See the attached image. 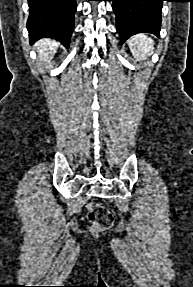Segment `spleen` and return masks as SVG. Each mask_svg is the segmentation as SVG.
I'll list each match as a JSON object with an SVG mask.
<instances>
[{
	"label": "spleen",
	"mask_w": 193,
	"mask_h": 287,
	"mask_svg": "<svg viewBox=\"0 0 193 287\" xmlns=\"http://www.w3.org/2000/svg\"><path fill=\"white\" fill-rule=\"evenodd\" d=\"M128 44L131 53L138 61L146 60L154 50V42L146 34L131 37Z\"/></svg>",
	"instance_id": "1"
}]
</instances>
